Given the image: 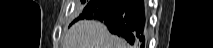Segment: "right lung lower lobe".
<instances>
[{
	"label": "right lung lower lobe",
	"instance_id": "1",
	"mask_svg": "<svg viewBox=\"0 0 213 48\" xmlns=\"http://www.w3.org/2000/svg\"><path fill=\"white\" fill-rule=\"evenodd\" d=\"M79 19H97L112 34L123 37L129 44L144 46L145 16L142 0H90Z\"/></svg>",
	"mask_w": 213,
	"mask_h": 48
}]
</instances>
